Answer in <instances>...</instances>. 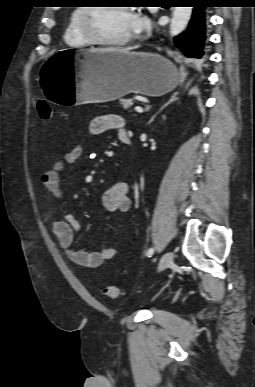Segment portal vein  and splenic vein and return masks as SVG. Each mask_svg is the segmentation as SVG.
Instances as JSON below:
<instances>
[{
    "label": "portal vein and splenic vein",
    "mask_w": 255,
    "mask_h": 387,
    "mask_svg": "<svg viewBox=\"0 0 255 387\" xmlns=\"http://www.w3.org/2000/svg\"><path fill=\"white\" fill-rule=\"evenodd\" d=\"M135 111L138 113H143V109L140 106H136Z\"/></svg>",
    "instance_id": "1"
}]
</instances>
